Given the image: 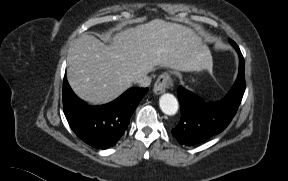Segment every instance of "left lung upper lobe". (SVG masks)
Wrapping results in <instances>:
<instances>
[{"label": "left lung upper lobe", "instance_id": "left-lung-upper-lobe-1", "mask_svg": "<svg viewBox=\"0 0 288 181\" xmlns=\"http://www.w3.org/2000/svg\"><path fill=\"white\" fill-rule=\"evenodd\" d=\"M239 69H244V66L243 67H239Z\"/></svg>", "mask_w": 288, "mask_h": 181}]
</instances>
